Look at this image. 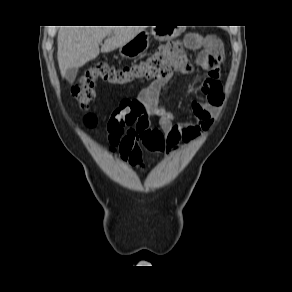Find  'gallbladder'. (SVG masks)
Returning <instances> with one entry per match:
<instances>
[{
	"mask_svg": "<svg viewBox=\"0 0 292 292\" xmlns=\"http://www.w3.org/2000/svg\"><path fill=\"white\" fill-rule=\"evenodd\" d=\"M78 73V68H70L66 71L65 77L69 83H73Z\"/></svg>",
	"mask_w": 292,
	"mask_h": 292,
	"instance_id": "obj_1",
	"label": "gallbladder"
}]
</instances>
